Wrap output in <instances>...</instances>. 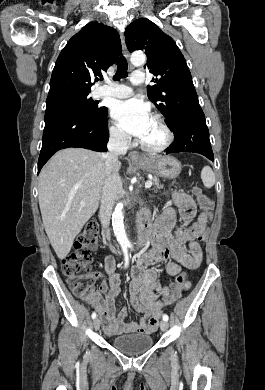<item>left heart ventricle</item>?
I'll use <instances>...</instances> for the list:
<instances>
[{"label": "left heart ventricle", "instance_id": "obj_1", "mask_svg": "<svg viewBox=\"0 0 265 390\" xmlns=\"http://www.w3.org/2000/svg\"><path fill=\"white\" fill-rule=\"evenodd\" d=\"M164 139L163 131L156 121L152 120L151 125L145 134V136L140 140L147 145L155 146L160 144Z\"/></svg>", "mask_w": 265, "mask_h": 390}]
</instances>
